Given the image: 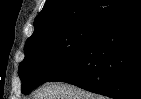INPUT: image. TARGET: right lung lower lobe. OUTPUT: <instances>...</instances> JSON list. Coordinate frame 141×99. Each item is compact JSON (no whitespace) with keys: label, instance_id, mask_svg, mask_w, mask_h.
I'll return each mask as SVG.
<instances>
[{"label":"right lung lower lobe","instance_id":"right-lung-lower-lobe-1","mask_svg":"<svg viewBox=\"0 0 141 99\" xmlns=\"http://www.w3.org/2000/svg\"><path fill=\"white\" fill-rule=\"evenodd\" d=\"M51 81L114 99H141V2L100 21L85 47Z\"/></svg>","mask_w":141,"mask_h":99}]
</instances>
